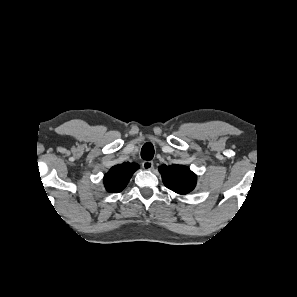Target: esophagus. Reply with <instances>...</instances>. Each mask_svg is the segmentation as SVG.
<instances>
[{"label":"esophagus","instance_id":"esophagus-1","mask_svg":"<svg viewBox=\"0 0 297 297\" xmlns=\"http://www.w3.org/2000/svg\"><path fill=\"white\" fill-rule=\"evenodd\" d=\"M142 167L144 169H152L154 167V163L152 161H144L142 163Z\"/></svg>","mask_w":297,"mask_h":297}]
</instances>
